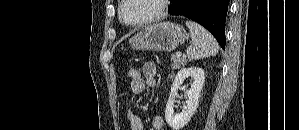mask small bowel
<instances>
[{
    "instance_id": "c3829d8e",
    "label": "small bowel",
    "mask_w": 299,
    "mask_h": 130,
    "mask_svg": "<svg viewBox=\"0 0 299 130\" xmlns=\"http://www.w3.org/2000/svg\"><path fill=\"white\" fill-rule=\"evenodd\" d=\"M156 72L157 68L154 62H146L142 67L141 79L136 83L130 84V92L134 97L140 94L146 87L153 88L156 86ZM131 130H144V123L139 116L134 114L131 110L127 112ZM151 125L154 130H162L164 120L160 115H154L151 119Z\"/></svg>"
}]
</instances>
